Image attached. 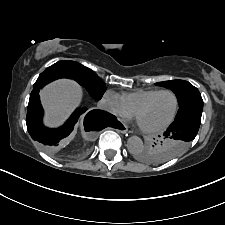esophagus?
Segmentation results:
<instances>
[{"mask_svg": "<svg viewBox=\"0 0 225 225\" xmlns=\"http://www.w3.org/2000/svg\"><path fill=\"white\" fill-rule=\"evenodd\" d=\"M116 130L120 133L126 134L128 132V128L124 123H121L117 126Z\"/></svg>", "mask_w": 225, "mask_h": 225, "instance_id": "esophagus-1", "label": "esophagus"}]
</instances>
